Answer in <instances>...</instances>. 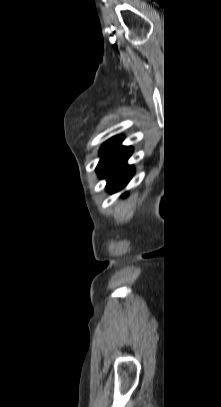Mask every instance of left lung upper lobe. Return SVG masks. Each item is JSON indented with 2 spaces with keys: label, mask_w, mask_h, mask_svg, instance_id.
<instances>
[{
  "label": "left lung upper lobe",
  "mask_w": 221,
  "mask_h": 407,
  "mask_svg": "<svg viewBox=\"0 0 221 407\" xmlns=\"http://www.w3.org/2000/svg\"><path fill=\"white\" fill-rule=\"evenodd\" d=\"M116 139H117V138L114 137V138L110 139L108 142H106V143L102 146V148L100 149V155H102V154L106 151V149H107Z\"/></svg>",
  "instance_id": "left-lung-upper-lobe-1"
}]
</instances>
